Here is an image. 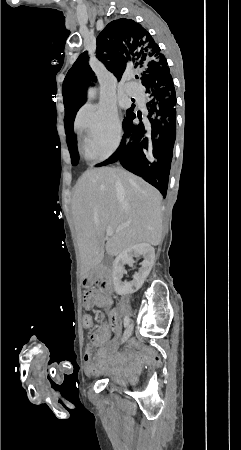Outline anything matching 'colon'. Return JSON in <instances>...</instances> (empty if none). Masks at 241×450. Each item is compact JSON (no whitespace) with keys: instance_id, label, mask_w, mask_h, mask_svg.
I'll return each mask as SVG.
<instances>
[{"instance_id":"colon-1","label":"colon","mask_w":241,"mask_h":450,"mask_svg":"<svg viewBox=\"0 0 241 450\" xmlns=\"http://www.w3.org/2000/svg\"><path fill=\"white\" fill-rule=\"evenodd\" d=\"M79 325L84 328H93V315L82 313L79 315Z\"/></svg>"}]
</instances>
